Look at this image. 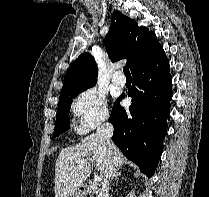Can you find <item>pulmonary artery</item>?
<instances>
[{
    "mask_svg": "<svg viewBox=\"0 0 209 197\" xmlns=\"http://www.w3.org/2000/svg\"><path fill=\"white\" fill-rule=\"evenodd\" d=\"M113 83L118 86V87H124L125 84H126V79L125 77L122 75L121 72H118L116 73L114 76H113V79H112Z\"/></svg>",
    "mask_w": 209,
    "mask_h": 197,
    "instance_id": "1",
    "label": "pulmonary artery"
}]
</instances>
